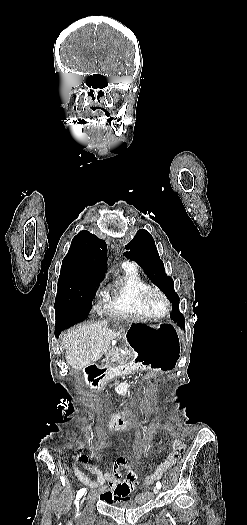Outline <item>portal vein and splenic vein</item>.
I'll use <instances>...</instances> for the list:
<instances>
[{
  "label": "portal vein and splenic vein",
  "instance_id": "obj_1",
  "mask_svg": "<svg viewBox=\"0 0 247 525\" xmlns=\"http://www.w3.org/2000/svg\"><path fill=\"white\" fill-rule=\"evenodd\" d=\"M109 367H113V364H109Z\"/></svg>",
  "mask_w": 247,
  "mask_h": 525
}]
</instances>
